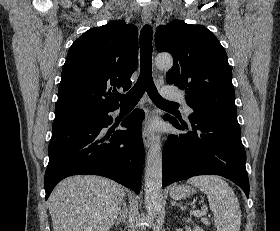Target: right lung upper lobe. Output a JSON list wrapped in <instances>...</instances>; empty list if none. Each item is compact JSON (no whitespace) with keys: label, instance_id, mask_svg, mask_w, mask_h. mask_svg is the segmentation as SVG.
<instances>
[{"label":"right lung upper lobe","instance_id":"obj_1","mask_svg":"<svg viewBox=\"0 0 280 231\" xmlns=\"http://www.w3.org/2000/svg\"><path fill=\"white\" fill-rule=\"evenodd\" d=\"M138 29L123 21L91 28L70 47L61 74L53 123L119 107L111 90L131 87Z\"/></svg>","mask_w":280,"mask_h":231}]
</instances>
